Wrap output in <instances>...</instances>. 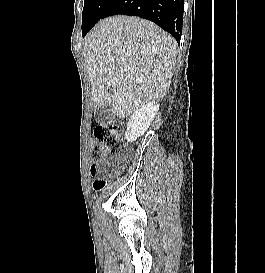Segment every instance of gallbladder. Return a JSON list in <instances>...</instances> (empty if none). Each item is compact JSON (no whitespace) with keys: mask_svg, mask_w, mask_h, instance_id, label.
Segmentation results:
<instances>
[{"mask_svg":"<svg viewBox=\"0 0 265 273\" xmlns=\"http://www.w3.org/2000/svg\"><path fill=\"white\" fill-rule=\"evenodd\" d=\"M94 116H95V119L100 123H104L114 118V115L110 112L107 106L97 108L94 111Z\"/></svg>","mask_w":265,"mask_h":273,"instance_id":"1","label":"gallbladder"}]
</instances>
